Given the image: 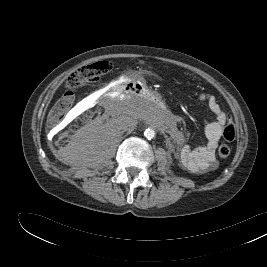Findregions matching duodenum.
I'll return each mask as SVG.
<instances>
[{
    "instance_id": "obj_1",
    "label": "duodenum",
    "mask_w": 267,
    "mask_h": 267,
    "mask_svg": "<svg viewBox=\"0 0 267 267\" xmlns=\"http://www.w3.org/2000/svg\"><path fill=\"white\" fill-rule=\"evenodd\" d=\"M112 90L117 94L132 93L146 100L154 108L167 110V105L154 92L145 91L144 86L138 80H120L112 85Z\"/></svg>"
}]
</instances>
